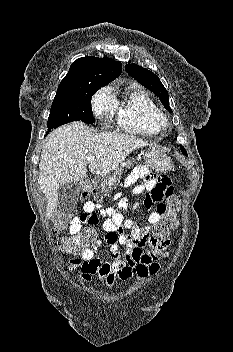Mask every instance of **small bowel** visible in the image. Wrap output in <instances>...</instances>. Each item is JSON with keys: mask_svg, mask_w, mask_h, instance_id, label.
Here are the masks:
<instances>
[{"mask_svg": "<svg viewBox=\"0 0 233 352\" xmlns=\"http://www.w3.org/2000/svg\"><path fill=\"white\" fill-rule=\"evenodd\" d=\"M136 182L140 183L133 188L132 192L133 194H146L144 206L148 210L153 203H157V208L164 204L163 200L173 193L168 176L154 175L144 166H139L132 171L125 181V186L129 187ZM119 197L120 194L115 195V199H118L117 208H105L93 201L85 202L83 213L70 222L69 232L74 236L79 233L83 224H98L95 211L99 210L104 218L102 228L106 232L105 242L109 245L111 252L112 261L109 263H104L95 257L94 247L83 251L81 259H73L71 269L81 267L78 276L80 282H90L93 275H98L108 287H112L118 280L142 279L156 273L160 259L169 253V242L161 246L148 244L151 249L147 252L141 251V247L146 245L142 243V240L153 231L161 219L157 208L155 211L148 212L146 225L138 227L131 219L125 218L123 212L129 208L128 201L126 198ZM125 229L131 230L129 237L124 235ZM123 245L127 246V252L125 257L121 258L119 248Z\"/></svg>", "mask_w": 233, "mask_h": 352, "instance_id": "1", "label": "small bowel"}]
</instances>
